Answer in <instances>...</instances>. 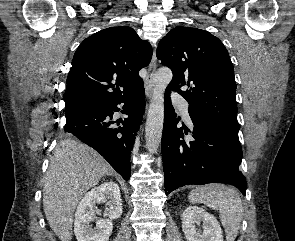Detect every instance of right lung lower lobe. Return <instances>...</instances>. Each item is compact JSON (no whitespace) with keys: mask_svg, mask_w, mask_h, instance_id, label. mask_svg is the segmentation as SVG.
<instances>
[{"mask_svg":"<svg viewBox=\"0 0 295 241\" xmlns=\"http://www.w3.org/2000/svg\"><path fill=\"white\" fill-rule=\"evenodd\" d=\"M128 115L121 121L112 119L114 112ZM145 106L144 86L117 100L95 104L67 117L65 132L98 151L125 179L131 172L130 154ZM122 124V126L116 127Z\"/></svg>","mask_w":295,"mask_h":241,"instance_id":"right-lung-lower-lobe-1","label":"right lung lower lobe"}]
</instances>
